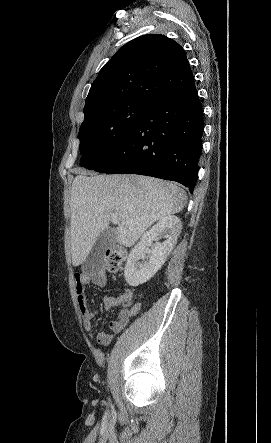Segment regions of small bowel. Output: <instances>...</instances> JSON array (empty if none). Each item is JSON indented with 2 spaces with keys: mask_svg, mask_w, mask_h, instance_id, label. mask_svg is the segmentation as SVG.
I'll return each mask as SVG.
<instances>
[{
  "mask_svg": "<svg viewBox=\"0 0 271 443\" xmlns=\"http://www.w3.org/2000/svg\"><path fill=\"white\" fill-rule=\"evenodd\" d=\"M75 291L77 296L78 308L82 316L84 329L91 333L94 329L97 310L89 308L85 294L86 286L93 284L98 287L106 285V274L104 270H93L89 272H76L74 274ZM106 309H113L117 306L121 307L119 315L109 322L110 329L115 333H119L125 327L130 319L138 314L141 309L139 303H133V292L129 288H124L118 297L106 296L103 299ZM96 341L102 345H108L113 339V335H109L101 328L95 337Z\"/></svg>",
  "mask_w": 271,
  "mask_h": 443,
  "instance_id": "small-bowel-1",
  "label": "small bowel"
}]
</instances>
